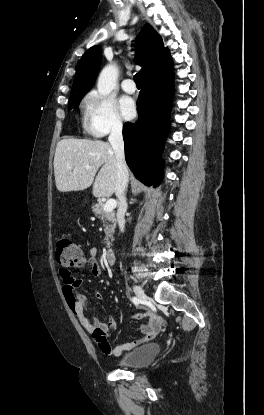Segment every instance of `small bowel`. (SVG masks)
<instances>
[{
  "mask_svg": "<svg viewBox=\"0 0 264 415\" xmlns=\"http://www.w3.org/2000/svg\"><path fill=\"white\" fill-rule=\"evenodd\" d=\"M85 264L90 267V272L93 277L99 278L102 276V270L95 257L94 249L91 248L89 250ZM59 275L63 281V291L65 295L67 293H72L73 295V301L68 303L74 315L77 317L82 327L98 342V345L105 353L119 356L125 351H130L137 346L147 344L157 337L159 329L164 323V318L156 312H138L132 314L131 317L134 320L146 319V322L141 324L139 328L141 336L137 340L127 341L112 347L108 340V334L115 329L114 321L110 319L107 322H100L95 318H89L87 316V311L89 309L87 298L79 291L83 280L73 276L70 269L67 270L61 268ZM94 296L99 301L103 300V296L100 292H95Z\"/></svg>",
  "mask_w": 264,
  "mask_h": 415,
  "instance_id": "1",
  "label": "small bowel"
}]
</instances>
